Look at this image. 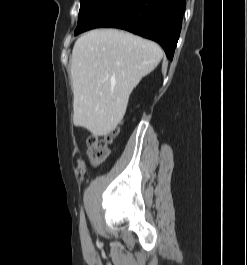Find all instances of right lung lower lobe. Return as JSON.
I'll use <instances>...</instances> for the list:
<instances>
[{
    "label": "right lung lower lobe",
    "mask_w": 247,
    "mask_h": 265,
    "mask_svg": "<svg viewBox=\"0 0 247 265\" xmlns=\"http://www.w3.org/2000/svg\"><path fill=\"white\" fill-rule=\"evenodd\" d=\"M185 7V0H99L74 34L98 27L124 29L158 42L172 60Z\"/></svg>",
    "instance_id": "1"
}]
</instances>
